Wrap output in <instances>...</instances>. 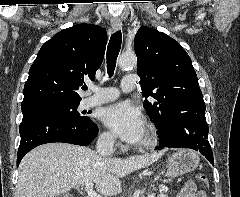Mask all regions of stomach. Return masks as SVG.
<instances>
[{"label":"stomach","mask_w":240,"mask_h":197,"mask_svg":"<svg viewBox=\"0 0 240 197\" xmlns=\"http://www.w3.org/2000/svg\"><path fill=\"white\" fill-rule=\"evenodd\" d=\"M167 176H179L199 166V156L192 150H180L168 158Z\"/></svg>","instance_id":"1"}]
</instances>
